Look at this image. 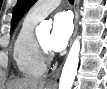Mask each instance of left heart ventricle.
Returning <instances> with one entry per match:
<instances>
[{"label":"left heart ventricle","mask_w":107,"mask_h":89,"mask_svg":"<svg viewBox=\"0 0 107 89\" xmlns=\"http://www.w3.org/2000/svg\"><path fill=\"white\" fill-rule=\"evenodd\" d=\"M43 45L48 47L50 33L46 32L38 36Z\"/></svg>","instance_id":"obj_1"}]
</instances>
